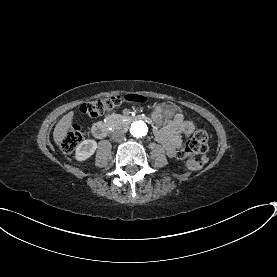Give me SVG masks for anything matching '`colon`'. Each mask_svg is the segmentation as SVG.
Listing matches in <instances>:
<instances>
[{"label": "colon", "mask_w": 277, "mask_h": 277, "mask_svg": "<svg viewBox=\"0 0 277 277\" xmlns=\"http://www.w3.org/2000/svg\"><path fill=\"white\" fill-rule=\"evenodd\" d=\"M148 102V97L144 95H117V96H102L92 99L84 103L81 107V112L87 117H96L110 112L124 103L132 104H145ZM83 134L76 130L70 129L61 147L66 152H71L78 142L82 139ZM209 134L205 129H199L195 131L184 143L183 147L177 151V157L181 160L187 161V167L189 170L197 172L200 171L208 158H194L195 153H205L208 148Z\"/></svg>", "instance_id": "5ec220e1"}]
</instances>
